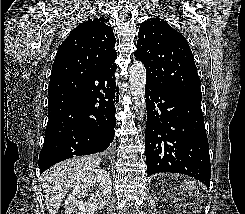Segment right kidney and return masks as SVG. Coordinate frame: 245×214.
Here are the masks:
<instances>
[{
  "label": "right kidney",
  "instance_id": "ca27d5eb",
  "mask_svg": "<svg viewBox=\"0 0 245 214\" xmlns=\"http://www.w3.org/2000/svg\"><path fill=\"white\" fill-rule=\"evenodd\" d=\"M111 177L104 169L90 171L65 200V214H94L107 207L111 196ZM89 194V199H83Z\"/></svg>",
  "mask_w": 245,
  "mask_h": 214
}]
</instances>
